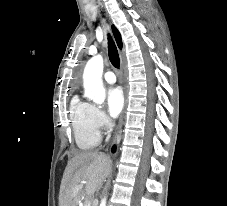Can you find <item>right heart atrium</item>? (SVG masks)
Listing matches in <instances>:
<instances>
[{
	"mask_svg": "<svg viewBox=\"0 0 227 206\" xmlns=\"http://www.w3.org/2000/svg\"><path fill=\"white\" fill-rule=\"evenodd\" d=\"M92 121H93L95 128L98 131L105 129L106 126L108 125V119H107V116L105 115V113L102 110H100L99 108L94 107V106L92 109Z\"/></svg>",
	"mask_w": 227,
	"mask_h": 206,
	"instance_id": "right-heart-atrium-1",
	"label": "right heart atrium"
}]
</instances>
